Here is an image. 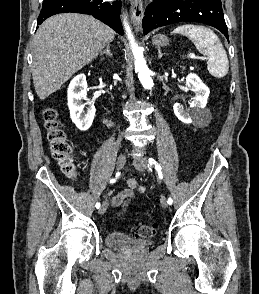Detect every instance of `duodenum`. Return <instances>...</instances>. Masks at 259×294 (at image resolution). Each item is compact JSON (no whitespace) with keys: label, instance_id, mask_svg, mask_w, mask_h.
<instances>
[{"label":"duodenum","instance_id":"410a0bca","mask_svg":"<svg viewBox=\"0 0 259 294\" xmlns=\"http://www.w3.org/2000/svg\"><path fill=\"white\" fill-rule=\"evenodd\" d=\"M104 122L107 123L108 125L111 124V120H109V119H104Z\"/></svg>","mask_w":259,"mask_h":294}]
</instances>
